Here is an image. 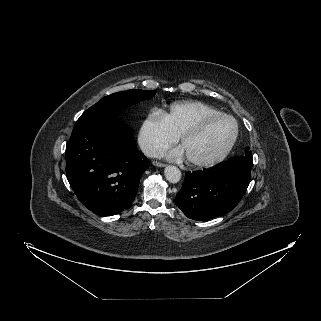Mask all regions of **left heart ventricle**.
Returning <instances> with one entry per match:
<instances>
[{
  "label": "left heart ventricle",
  "mask_w": 321,
  "mask_h": 321,
  "mask_svg": "<svg viewBox=\"0 0 321 321\" xmlns=\"http://www.w3.org/2000/svg\"><path fill=\"white\" fill-rule=\"evenodd\" d=\"M234 125L228 119H216L198 133L186 138L181 147L187 158L210 160L216 157L232 137Z\"/></svg>",
  "instance_id": "left-heart-ventricle-1"
}]
</instances>
